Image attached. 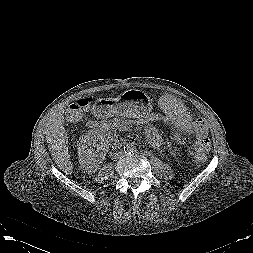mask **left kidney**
Masks as SVG:
<instances>
[{
    "label": "left kidney",
    "mask_w": 253,
    "mask_h": 253,
    "mask_svg": "<svg viewBox=\"0 0 253 253\" xmlns=\"http://www.w3.org/2000/svg\"><path fill=\"white\" fill-rule=\"evenodd\" d=\"M145 135L147 140L152 142L155 146L159 147L161 144H163V139L155 127H147L145 129Z\"/></svg>",
    "instance_id": "obj_1"
}]
</instances>
